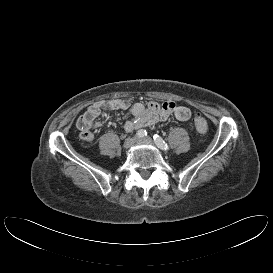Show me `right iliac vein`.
<instances>
[{
    "label": "right iliac vein",
    "instance_id": "obj_1",
    "mask_svg": "<svg viewBox=\"0 0 273 273\" xmlns=\"http://www.w3.org/2000/svg\"><path fill=\"white\" fill-rule=\"evenodd\" d=\"M136 141H137V138H136V137L128 138V139L125 140V142H124V144H123V147H124L125 149H129V148H131V147L134 145V143H135Z\"/></svg>",
    "mask_w": 273,
    "mask_h": 273
}]
</instances>
